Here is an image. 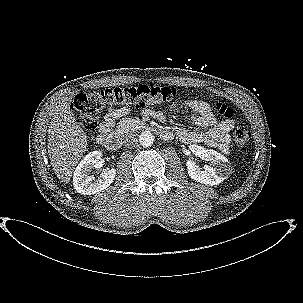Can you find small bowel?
<instances>
[{
  "label": "small bowel",
  "mask_w": 303,
  "mask_h": 303,
  "mask_svg": "<svg viewBox=\"0 0 303 303\" xmlns=\"http://www.w3.org/2000/svg\"><path fill=\"white\" fill-rule=\"evenodd\" d=\"M179 105L189 107L193 112L194 123L201 128H206L202 131H188L179 130L176 135L177 138L184 143H204L210 147H216L224 153L229 151V133L234 128V121L227 119L218 121L212 112L210 105L201 100H186L176 102L173 108ZM130 109L128 107L111 108L107 111L103 122L99 127L100 138L104 137L113 127L115 120L127 113ZM146 115L154 116L160 121H164L165 117L161 112L152 110H145ZM171 136L169 131H166Z\"/></svg>",
  "instance_id": "obj_1"
}]
</instances>
